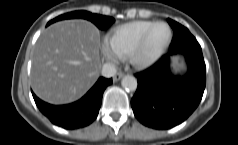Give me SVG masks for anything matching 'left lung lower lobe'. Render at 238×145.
I'll return each mask as SVG.
<instances>
[{
	"mask_svg": "<svg viewBox=\"0 0 238 145\" xmlns=\"http://www.w3.org/2000/svg\"><path fill=\"white\" fill-rule=\"evenodd\" d=\"M168 23L174 31L169 54L136 74L138 87L131 99L135 117L154 129H170L185 121L199 105L206 85L201 46L187 28L171 19ZM178 53L189 66L182 77L170 71L169 56Z\"/></svg>",
	"mask_w": 238,
	"mask_h": 145,
	"instance_id": "0a47b994",
	"label": "left lung lower lobe"
}]
</instances>
